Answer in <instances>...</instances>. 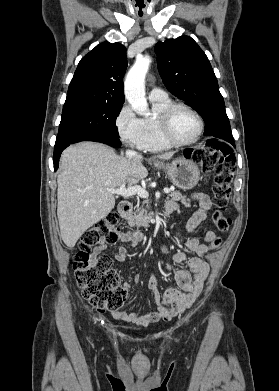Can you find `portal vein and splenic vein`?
Here are the masks:
<instances>
[{
	"label": "portal vein and splenic vein",
	"instance_id": "portal-vein-and-splenic-vein-1",
	"mask_svg": "<svg viewBox=\"0 0 279 391\" xmlns=\"http://www.w3.org/2000/svg\"><path fill=\"white\" fill-rule=\"evenodd\" d=\"M106 190L111 194L121 195L123 197H129V196H133L136 194L141 198H147L149 196L146 189L142 188L141 186H137V185L126 188L125 184H122L119 188H116V189L107 188ZM164 193L169 194L170 189L164 188Z\"/></svg>",
	"mask_w": 279,
	"mask_h": 391
}]
</instances>
